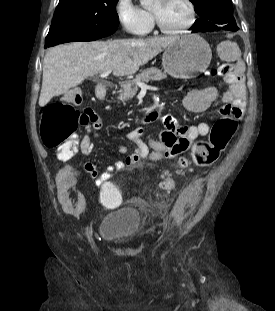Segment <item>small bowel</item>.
I'll return each instance as SVG.
<instances>
[{"label": "small bowel", "mask_w": 275, "mask_h": 311, "mask_svg": "<svg viewBox=\"0 0 275 311\" xmlns=\"http://www.w3.org/2000/svg\"><path fill=\"white\" fill-rule=\"evenodd\" d=\"M217 51L220 57H233L236 59L234 71L226 80L228 89L221 95H218L216 86H208L196 89L186 95L184 107L192 113H202L213 110L221 118L238 120L243 112L245 105V85H244V63L240 59L241 53L236 43L226 41L222 46H218ZM146 120L147 126H161L158 138L147 135L144 138L145 129L137 127L128 133V139L135 145L134 152L127 155L124 159L115 161L98 173L95 165L87 161L84 163V170L95 178V182L106 183L107 178H111L115 172L123 169L127 165L136 162L139 159L148 158L152 161H159L163 158H174L189 148L190 143L199 137L209 134L212 126L208 122H199L192 125H181L175 117L168 115L160 119V114H149ZM88 131H97L102 127L101 119L94 113L90 123L87 125ZM82 153L88 155L93 149V143L87 135L82 140ZM121 155L127 154V148L123 145L117 149ZM61 159V158H60ZM66 160V159H62ZM67 169H70L68 173ZM58 169V187L61 194H58V201H62L59 206V213H65L66 216H83L84 203L83 187H75L73 183L74 176H81V169Z\"/></svg>", "instance_id": "1"}]
</instances>
